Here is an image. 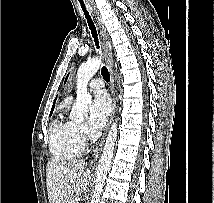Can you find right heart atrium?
Wrapping results in <instances>:
<instances>
[{"label":"right heart atrium","mask_w":214,"mask_h":203,"mask_svg":"<svg viewBox=\"0 0 214 203\" xmlns=\"http://www.w3.org/2000/svg\"><path fill=\"white\" fill-rule=\"evenodd\" d=\"M76 129H77V133H78L79 137L82 140H85L89 137L90 132H89L88 127L85 124H83V123L77 124Z\"/></svg>","instance_id":"1"}]
</instances>
